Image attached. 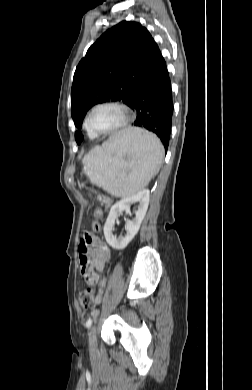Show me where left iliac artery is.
I'll return each instance as SVG.
<instances>
[{
    "label": "left iliac artery",
    "instance_id": "44dca946",
    "mask_svg": "<svg viewBox=\"0 0 252 390\" xmlns=\"http://www.w3.org/2000/svg\"><path fill=\"white\" fill-rule=\"evenodd\" d=\"M91 325H92V319H88L87 322H86V327L90 328Z\"/></svg>",
    "mask_w": 252,
    "mask_h": 390
}]
</instances>
